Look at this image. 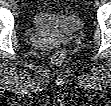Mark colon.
Instances as JSON below:
<instances>
[{
    "label": "colon",
    "instance_id": "obj_1",
    "mask_svg": "<svg viewBox=\"0 0 111 106\" xmlns=\"http://www.w3.org/2000/svg\"><path fill=\"white\" fill-rule=\"evenodd\" d=\"M66 54L63 51H57L52 56V61L56 64H61L65 61Z\"/></svg>",
    "mask_w": 111,
    "mask_h": 106
}]
</instances>
